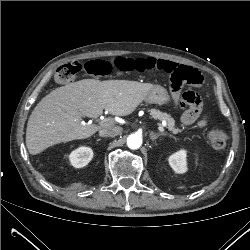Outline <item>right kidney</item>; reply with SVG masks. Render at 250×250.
Instances as JSON below:
<instances>
[{
  "label": "right kidney",
  "instance_id": "1",
  "mask_svg": "<svg viewBox=\"0 0 250 250\" xmlns=\"http://www.w3.org/2000/svg\"><path fill=\"white\" fill-rule=\"evenodd\" d=\"M93 157V151L89 147H80L71 152L69 159L75 168H82L86 166Z\"/></svg>",
  "mask_w": 250,
  "mask_h": 250
}]
</instances>
